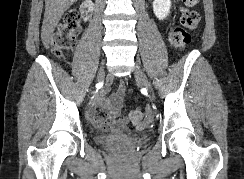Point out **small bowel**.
I'll return each mask as SVG.
<instances>
[{"instance_id": "small-bowel-1", "label": "small bowel", "mask_w": 244, "mask_h": 179, "mask_svg": "<svg viewBox=\"0 0 244 179\" xmlns=\"http://www.w3.org/2000/svg\"><path fill=\"white\" fill-rule=\"evenodd\" d=\"M126 91L125 83L121 82L118 85L117 91L112 93L108 98L101 97L98 100V108L106 114L104 118L96 116L94 111H90V117L95 125L105 131L124 130L127 127L129 118L125 115L120 116L115 114L116 110L121 113L123 107V97ZM120 116V117H119ZM132 116H142V114H133ZM145 121H153V116H144ZM137 129H142L144 126H135Z\"/></svg>"}]
</instances>
